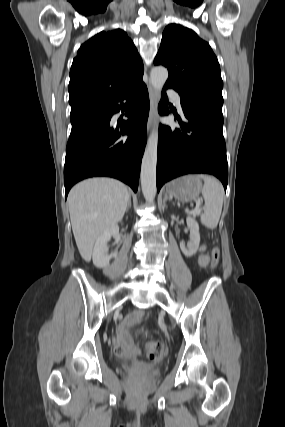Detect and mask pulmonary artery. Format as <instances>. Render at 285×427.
<instances>
[{
  "label": "pulmonary artery",
  "mask_w": 285,
  "mask_h": 427,
  "mask_svg": "<svg viewBox=\"0 0 285 427\" xmlns=\"http://www.w3.org/2000/svg\"><path fill=\"white\" fill-rule=\"evenodd\" d=\"M167 95L173 100L175 106L177 107V109L179 111L182 110V105H181V97L180 95L174 90V89H167Z\"/></svg>",
  "instance_id": "1"
}]
</instances>
